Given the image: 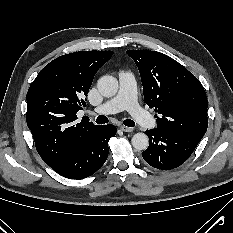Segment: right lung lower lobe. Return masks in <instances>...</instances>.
Instances as JSON below:
<instances>
[{
  "label": "right lung lower lobe",
  "instance_id": "1",
  "mask_svg": "<svg viewBox=\"0 0 233 233\" xmlns=\"http://www.w3.org/2000/svg\"><path fill=\"white\" fill-rule=\"evenodd\" d=\"M115 134L114 125L101 126L79 149L49 166L66 178L89 177L106 161L109 153L108 141Z\"/></svg>",
  "mask_w": 233,
  "mask_h": 233
}]
</instances>
